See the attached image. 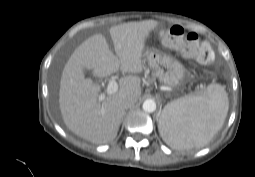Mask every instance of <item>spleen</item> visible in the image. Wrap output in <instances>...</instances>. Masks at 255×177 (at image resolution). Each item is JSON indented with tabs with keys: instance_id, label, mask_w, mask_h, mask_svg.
<instances>
[{
	"instance_id": "spleen-1",
	"label": "spleen",
	"mask_w": 255,
	"mask_h": 177,
	"mask_svg": "<svg viewBox=\"0 0 255 177\" xmlns=\"http://www.w3.org/2000/svg\"><path fill=\"white\" fill-rule=\"evenodd\" d=\"M228 108L224 88L211 84L203 95H187L169 103L160 117V134L178 150L203 147L221 129Z\"/></svg>"
}]
</instances>
